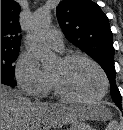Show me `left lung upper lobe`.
<instances>
[{"instance_id":"left-lung-upper-lobe-1","label":"left lung upper lobe","mask_w":123,"mask_h":130,"mask_svg":"<svg viewBox=\"0 0 123 130\" xmlns=\"http://www.w3.org/2000/svg\"><path fill=\"white\" fill-rule=\"evenodd\" d=\"M58 22L73 44L85 51L106 72L113 101L121 106L115 83L114 47L106 14L91 0H63L57 6Z\"/></svg>"}]
</instances>
